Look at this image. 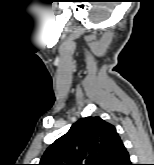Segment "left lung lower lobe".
Masks as SVG:
<instances>
[{"instance_id": "1", "label": "left lung lower lobe", "mask_w": 154, "mask_h": 165, "mask_svg": "<svg viewBox=\"0 0 154 165\" xmlns=\"http://www.w3.org/2000/svg\"><path fill=\"white\" fill-rule=\"evenodd\" d=\"M115 165H132L130 162L129 154L123 147L119 152V157Z\"/></svg>"}]
</instances>
